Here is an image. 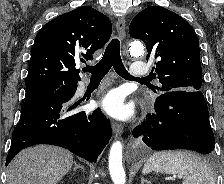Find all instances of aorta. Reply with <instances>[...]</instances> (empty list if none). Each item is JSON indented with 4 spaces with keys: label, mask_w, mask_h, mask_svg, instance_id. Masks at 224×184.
Wrapping results in <instances>:
<instances>
[{
    "label": "aorta",
    "mask_w": 224,
    "mask_h": 184,
    "mask_svg": "<svg viewBox=\"0 0 224 184\" xmlns=\"http://www.w3.org/2000/svg\"><path fill=\"white\" fill-rule=\"evenodd\" d=\"M129 52L133 56L142 55L144 46L139 41L129 44ZM109 171L114 184H125V171L122 166V143L116 141L112 144L109 154Z\"/></svg>",
    "instance_id": "aorta-1"
}]
</instances>
